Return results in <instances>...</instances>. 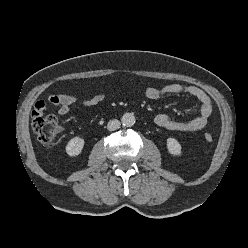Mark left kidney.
Masks as SVG:
<instances>
[{
	"instance_id": "obj_1",
	"label": "left kidney",
	"mask_w": 248,
	"mask_h": 248,
	"mask_svg": "<svg viewBox=\"0 0 248 248\" xmlns=\"http://www.w3.org/2000/svg\"><path fill=\"white\" fill-rule=\"evenodd\" d=\"M167 149L172 155H180L181 154V145L174 138L167 139Z\"/></svg>"
}]
</instances>
